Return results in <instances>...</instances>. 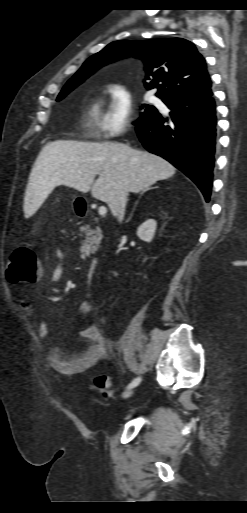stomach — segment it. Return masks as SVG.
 <instances>
[{
  "label": "stomach",
  "mask_w": 247,
  "mask_h": 513,
  "mask_svg": "<svg viewBox=\"0 0 247 513\" xmlns=\"http://www.w3.org/2000/svg\"><path fill=\"white\" fill-rule=\"evenodd\" d=\"M76 201H77V198H74L73 203H75ZM74 211L77 213L76 209Z\"/></svg>",
  "instance_id": "0dacf381"
}]
</instances>
